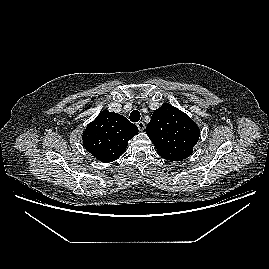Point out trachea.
<instances>
[{"label": "trachea", "instance_id": "obj_1", "mask_svg": "<svg viewBox=\"0 0 269 269\" xmlns=\"http://www.w3.org/2000/svg\"><path fill=\"white\" fill-rule=\"evenodd\" d=\"M140 117H141V115H140V112L138 110H133L129 116V118L132 122H138L140 120Z\"/></svg>", "mask_w": 269, "mask_h": 269}]
</instances>
